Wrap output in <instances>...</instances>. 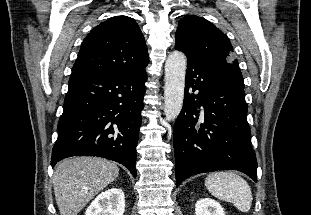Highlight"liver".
<instances>
[{"mask_svg": "<svg viewBox=\"0 0 311 215\" xmlns=\"http://www.w3.org/2000/svg\"><path fill=\"white\" fill-rule=\"evenodd\" d=\"M118 174L115 163L99 157L79 156L59 162L53 181L60 214L77 215Z\"/></svg>", "mask_w": 311, "mask_h": 215, "instance_id": "1", "label": "liver"}]
</instances>
